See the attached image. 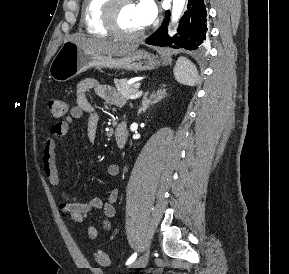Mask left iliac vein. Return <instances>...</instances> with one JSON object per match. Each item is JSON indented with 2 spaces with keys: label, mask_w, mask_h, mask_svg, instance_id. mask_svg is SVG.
Masks as SVG:
<instances>
[{
  "label": "left iliac vein",
  "mask_w": 289,
  "mask_h": 274,
  "mask_svg": "<svg viewBox=\"0 0 289 274\" xmlns=\"http://www.w3.org/2000/svg\"><path fill=\"white\" fill-rule=\"evenodd\" d=\"M148 261H149V251H146L137 260L132 262L129 268H143L147 265Z\"/></svg>",
  "instance_id": "left-iliac-vein-1"
}]
</instances>
